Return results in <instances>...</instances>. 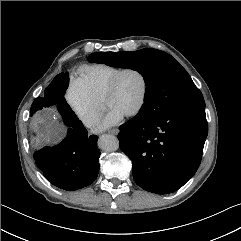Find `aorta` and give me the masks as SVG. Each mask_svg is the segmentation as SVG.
I'll return each instance as SVG.
<instances>
[{"mask_svg":"<svg viewBox=\"0 0 241 241\" xmlns=\"http://www.w3.org/2000/svg\"><path fill=\"white\" fill-rule=\"evenodd\" d=\"M98 145L102 150L112 152L119 148V141L117 137L105 134L99 138Z\"/></svg>","mask_w":241,"mask_h":241,"instance_id":"762f6f07","label":"aorta"}]
</instances>
